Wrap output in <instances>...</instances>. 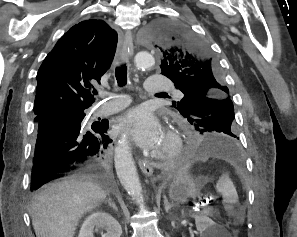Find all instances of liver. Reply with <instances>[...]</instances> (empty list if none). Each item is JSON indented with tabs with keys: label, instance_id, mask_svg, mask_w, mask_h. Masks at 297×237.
<instances>
[{
	"label": "liver",
	"instance_id": "obj_1",
	"mask_svg": "<svg viewBox=\"0 0 297 237\" xmlns=\"http://www.w3.org/2000/svg\"><path fill=\"white\" fill-rule=\"evenodd\" d=\"M107 197L89 176L75 175L46 185L31 203L32 225L37 237H74L82 216Z\"/></svg>",
	"mask_w": 297,
	"mask_h": 237
}]
</instances>
